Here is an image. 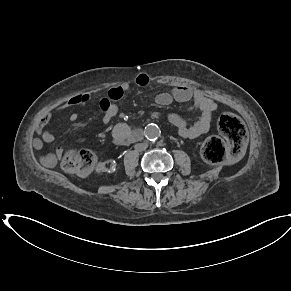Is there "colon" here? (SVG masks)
I'll return each instance as SVG.
<instances>
[{
  "instance_id": "1",
  "label": "colon",
  "mask_w": 291,
  "mask_h": 291,
  "mask_svg": "<svg viewBox=\"0 0 291 291\" xmlns=\"http://www.w3.org/2000/svg\"><path fill=\"white\" fill-rule=\"evenodd\" d=\"M217 126L226 141L218 136H211L202 146V156L211 164H222L228 157H238L247 138L245 125L234 113H222L218 118ZM95 162L96 153L92 149L71 150L61 159L62 168L78 176L89 175Z\"/></svg>"
}]
</instances>
